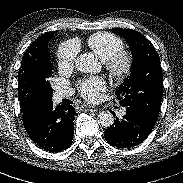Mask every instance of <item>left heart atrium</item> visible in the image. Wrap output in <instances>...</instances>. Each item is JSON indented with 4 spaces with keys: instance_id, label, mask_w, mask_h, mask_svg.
I'll list each match as a JSON object with an SVG mask.
<instances>
[{
    "instance_id": "39dd6f15",
    "label": "left heart atrium",
    "mask_w": 183,
    "mask_h": 183,
    "mask_svg": "<svg viewBox=\"0 0 183 183\" xmlns=\"http://www.w3.org/2000/svg\"><path fill=\"white\" fill-rule=\"evenodd\" d=\"M77 87L83 98L94 101L97 99L99 92L106 88V83L101 77H90L81 79L77 83Z\"/></svg>"
}]
</instances>
